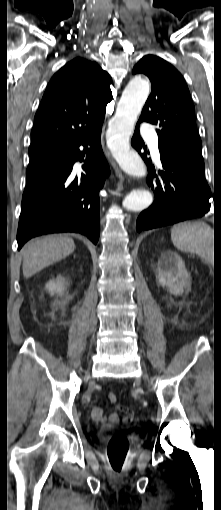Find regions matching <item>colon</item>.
Listing matches in <instances>:
<instances>
[{"mask_svg": "<svg viewBox=\"0 0 221 510\" xmlns=\"http://www.w3.org/2000/svg\"><path fill=\"white\" fill-rule=\"evenodd\" d=\"M109 401L112 403L116 402V396L110 393ZM133 420L131 412H126V415L122 418L123 423H129ZM107 456L113 473L119 475L123 472L124 461L129 451V441L127 437L121 433H115L108 441L107 444Z\"/></svg>", "mask_w": 221, "mask_h": 510, "instance_id": "1", "label": "colon"}]
</instances>
